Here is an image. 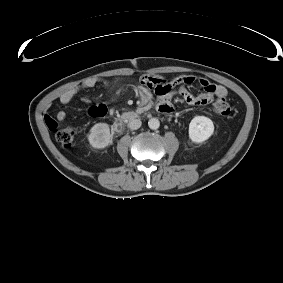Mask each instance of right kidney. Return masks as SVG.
Returning a JSON list of instances; mask_svg holds the SVG:
<instances>
[{
  "instance_id": "ca27d5eb",
  "label": "right kidney",
  "mask_w": 283,
  "mask_h": 283,
  "mask_svg": "<svg viewBox=\"0 0 283 283\" xmlns=\"http://www.w3.org/2000/svg\"><path fill=\"white\" fill-rule=\"evenodd\" d=\"M90 145L95 149H103L111 144L112 135L107 123H97L91 129L88 135Z\"/></svg>"
}]
</instances>
